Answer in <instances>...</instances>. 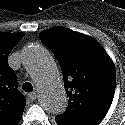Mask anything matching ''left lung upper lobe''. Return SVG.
Wrapping results in <instances>:
<instances>
[{
    "instance_id": "5c2ea615",
    "label": "left lung upper lobe",
    "mask_w": 125,
    "mask_h": 125,
    "mask_svg": "<svg viewBox=\"0 0 125 125\" xmlns=\"http://www.w3.org/2000/svg\"><path fill=\"white\" fill-rule=\"evenodd\" d=\"M39 36L61 66L69 97L67 110L55 118L72 125H99L115 93L111 58L95 39L67 28H51Z\"/></svg>"
}]
</instances>
